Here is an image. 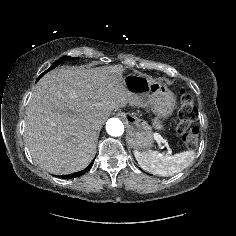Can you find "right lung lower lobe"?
Listing matches in <instances>:
<instances>
[{
	"label": "right lung lower lobe",
	"instance_id": "right-lung-lower-lobe-1",
	"mask_svg": "<svg viewBox=\"0 0 236 236\" xmlns=\"http://www.w3.org/2000/svg\"><path fill=\"white\" fill-rule=\"evenodd\" d=\"M93 163H94V161L91 162V164L86 169H84L82 171H79V172H76V173H73V174H70V175H63L61 177L64 178V179H70V178H75V177L81 176L84 173H86L92 167Z\"/></svg>",
	"mask_w": 236,
	"mask_h": 236
}]
</instances>
